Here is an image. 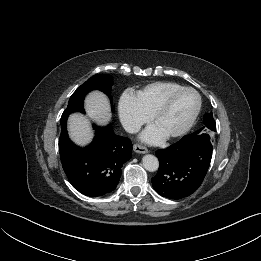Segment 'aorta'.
I'll return each mask as SVG.
<instances>
[{
  "instance_id": "1",
  "label": "aorta",
  "mask_w": 261,
  "mask_h": 261,
  "mask_svg": "<svg viewBox=\"0 0 261 261\" xmlns=\"http://www.w3.org/2000/svg\"><path fill=\"white\" fill-rule=\"evenodd\" d=\"M142 164L143 167L150 172L156 171L159 167V161L157 157L151 154L145 155L143 157Z\"/></svg>"
}]
</instances>
